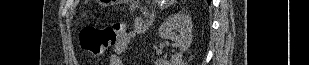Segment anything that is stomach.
<instances>
[{
    "instance_id": "0dacf381",
    "label": "stomach",
    "mask_w": 309,
    "mask_h": 65,
    "mask_svg": "<svg viewBox=\"0 0 309 65\" xmlns=\"http://www.w3.org/2000/svg\"><path fill=\"white\" fill-rule=\"evenodd\" d=\"M120 2H121L120 0H105L101 4L108 6V5L118 4Z\"/></svg>"
}]
</instances>
